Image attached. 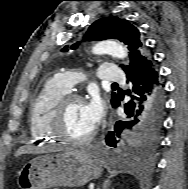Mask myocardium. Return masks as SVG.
Segmentation results:
<instances>
[{"mask_svg": "<svg viewBox=\"0 0 188 189\" xmlns=\"http://www.w3.org/2000/svg\"><path fill=\"white\" fill-rule=\"evenodd\" d=\"M73 102H84V98L72 92H67L61 96L53 106L49 116L48 129L56 139L68 144H85L89 143L95 137L97 130L93 128L87 135L83 137H72L68 135L63 128V122L68 106Z\"/></svg>", "mask_w": 188, "mask_h": 189, "instance_id": "f54148a6", "label": "myocardium"}]
</instances>
